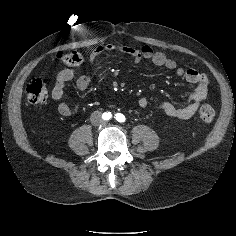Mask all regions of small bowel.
Returning a JSON list of instances; mask_svg holds the SVG:
<instances>
[{
    "instance_id": "1",
    "label": "small bowel",
    "mask_w": 236,
    "mask_h": 236,
    "mask_svg": "<svg viewBox=\"0 0 236 236\" xmlns=\"http://www.w3.org/2000/svg\"><path fill=\"white\" fill-rule=\"evenodd\" d=\"M104 52H120L130 56L135 62L144 59L150 60L158 67H164L175 71L176 75L185 79L186 82L195 85L194 90L187 97L185 103L181 106L174 105L170 102L163 101L158 104L160 110L166 115L179 119H189L196 112L200 103L206 98L208 92L209 79L204 74L195 69H184L178 67L175 60L169 58L165 53L155 51L151 46L145 45L141 48L133 46H120L113 43L104 46H98L89 55L91 62L95 61L99 55ZM75 75L73 69H64L56 76L55 84L52 89V98L58 102L57 110L62 116H71L78 110L77 105L67 99L64 89ZM91 84V77L88 75L80 76L76 81L79 90H86ZM67 100V101H65ZM139 107L146 109L149 106V100L142 97L138 101Z\"/></svg>"
}]
</instances>
